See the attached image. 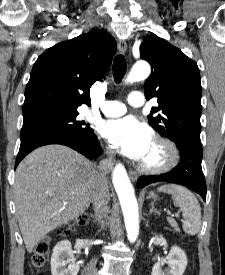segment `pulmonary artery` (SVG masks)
<instances>
[{
  "label": "pulmonary artery",
  "instance_id": "pulmonary-artery-1",
  "mask_svg": "<svg viewBox=\"0 0 225 275\" xmlns=\"http://www.w3.org/2000/svg\"><path fill=\"white\" fill-rule=\"evenodd\" d=\"M128 104L132 107H142L144 105V95L139 92H132L128 96ZM126 105L119 101H105L99 113L108 117L120 116L126 112ZM94 113L93 110H91Z\"/></svg>",
  "mask_w": 225,
  "mask_h": 275
}]
</instances>
